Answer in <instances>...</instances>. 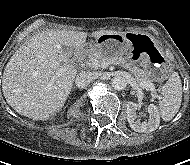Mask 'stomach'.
<instances>
[{
    "instance_id": "stomach-1",
    "label": "stomach",
    "mask_w": 190,
    "mask_h": 165,
    "mask_svg": "<svg viewBox=\"0 0 190 165\" xmlns=\"http://www.w3.org/2000/svg\"><path fill=\"white\" fill-rule=\"evenodd\" d=\"M103 34L92 41L91 50L105 57H118L127 66H133L149 80L162 81L171 68L167 57L159 52L156 43L146 35Z\"/></svg>"
}]
</instances>
